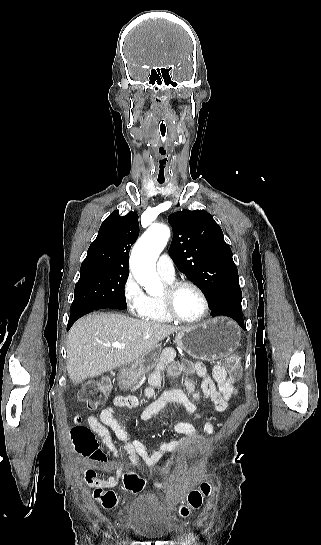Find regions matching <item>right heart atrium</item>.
Returning <instances> with one entry per match:
<instances>
[{
	"label": "right heart atrium",
	"instance_id": "obj_1",
	"mask_svg": "<svg viewBox=\"0 0 321 545\" xmlns=\"http://www.w3.org/2000/svg\"><path fill=\"white\" fill-rule=\"evenodd\" d=\"M121 294L128 312L142 318L148 308L149 298L132 273H128L123 280Z\"/></svg>",
	"mask_w": 321,
	"mask_h": 545
}]
</instances>
